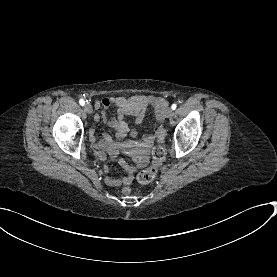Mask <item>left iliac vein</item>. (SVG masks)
<instances>
[{
	"label": "left iliac vein",
	"instance_id": "1",
	"mask_svg": "<svg viewBox=\"0 0 277 277\" xmlns=\"http://www.w3.org/2000/svg\"><path fill=\"white\" fill-rule=\"evenodd\" d=\"M164 115L166 118H170L173 115L172 108L171 107L166 108Z\"/></svg>",
	"mask_w": 277,
	"mask_h": 277
}]
</instances>
